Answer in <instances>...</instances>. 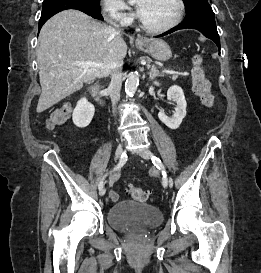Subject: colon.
Returning a JSON list of instances; mask_svg holds the SVG:
<instances>
[{"instance_id": "5ec220e1", "label": "colon", "mask_w": 261, "mask_h": 273, "mask_svg": "<svg viewBox=\"0 0 261 273\" xmlns=\"http://www.w3.org/2000/svg\"><path fill=\"white\" fill-rule=\"evenodd\" d=\"M192 79L194 92L200 98L202 104L208 108L213 107L214 96L210 90V83L205 76L202 57L199 54L193 57ZM129 193L136 201L147 202L150 200V193L140 187H130Z\"/></svg>"}]
</instances>
